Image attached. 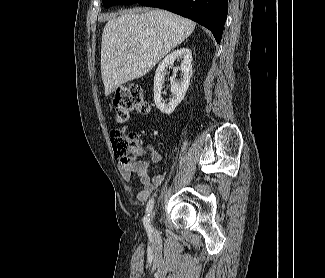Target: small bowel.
Returning <instances> with one entry per match:
<instances>
[{
    "label": "small bowel",
    "mask_w": 325,
    "mask_h": 278,
    "mask_svg": "<svg viewBox=\"0 0 325 278\" xmlns=\"http://www.w3.org/2000/svg\"><path fill=\"white\" fill-rule=\"evenodd\" d=\"M127 127L125 126L124 129ZM164 153L156 148L150 149L148 160H138L134 161L131 166H120L121 176L127 180L132 181L137 177L141 190L138 193V200L145 201L149 195L153 192L155 186L159 185L163 181L162 175H151L149 171L150 163H158L162 161Z\"/></svg>",
    "instance_id": "obj_1"
}]
</instances>
